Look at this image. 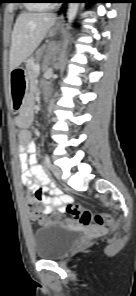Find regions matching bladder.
<instances>
[{"label": "bladder", "mask_w": 136, "mask_h": 296, "mask_svg": "<svg viewBox=\"0 0 136 296\" xmlns=\"http://www.w3.org/2000/svg\"><path fill=\"white\" fill-rule=\"evenodd\" d=\"M34 251L41 260L64 257L77 242V231L67 225H50L38 228L33 234Z\"/></svg>", "instance_id": "1"}]
</instances>
